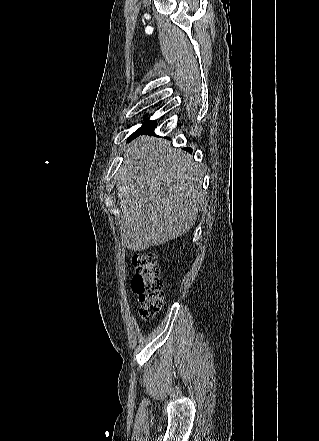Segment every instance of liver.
Here are the masks:
<instances>
[{
    "instance_id": "liver-1",
    "label": "liver",
    "mask_w": 319,
    "mask_h": 441,
    "mask_svg": "<svg viewBox=\"0 0 319 441\" xmlns=\"http://www.w3.org/2000/svg\"><path fill=\"white\" fill-rule=\"evenodd\" d=\"M203 177L192 156L169 141L149 136L132 141L117 174L125 246L141 251L186 233L204 202Z\"/></svg>"
}]
</instances>
